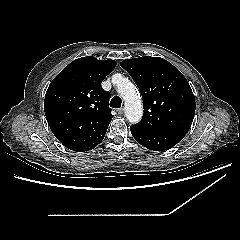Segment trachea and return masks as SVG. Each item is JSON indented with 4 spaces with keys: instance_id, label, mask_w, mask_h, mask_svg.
I'll return each instance as SVG.
<instances>
[{
    "instance_id": "trachea-1",
    "label": "trachea",
    "mask_w": 240,
    "mask_h": 240,
    "mask_svg": "<svg viewBox=\"0 0 240 240\" xmlns=\"http://www.w3.org/2000/svg\"><path fill=\"white\" fill-rule=\"evenodd\" d=\"M122 105V100L119 96H114L110 101V106L112 108H120Z\"/></svg>"
}]
</instances>
